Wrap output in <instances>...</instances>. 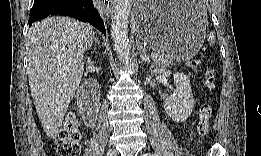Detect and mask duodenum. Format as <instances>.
I'll return each mask as SVG.
<instances>
[{"label":"duodenum","mask_w":261,"mask_h":156,"mask_svg":"<svg viewBox=\"0 0 261 156\" xmlns=\"http://www.w3.org/2000/svg\"><path fill=\"white\" fill-rule=\"evenodd\" d=\"M79 109L83 116L94 121L99 106V95L97 87L93 82H87L78 95Z\"/></svg>","instance_id":"obj_1"}]
</instances>
